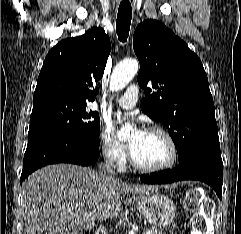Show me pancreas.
Wrapping results in <instances>:
<instances>
[{
    "mask_svg": "<svg viewBox=\"0 0 241 234\" xmlns=\"http://www.w3.org/2000/svg\"><path fill=\"white\" fill-rule=\"evenodd\" d=\"M147 231H150L151 234H164L162 231H159L158 229L152 227V228H147ZM146 234V233H144Z\"/></svg>",
    "mask_w": 241,
    "mask_h": 234,
    "instance_id": "obj_1",
    "label": "pancreas"
}]
</instances>
